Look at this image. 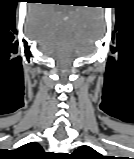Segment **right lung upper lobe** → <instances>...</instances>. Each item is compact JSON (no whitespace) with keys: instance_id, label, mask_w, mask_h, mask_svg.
Wrapping results in <instances>:
<instances>
[{"instance_id":"cb5924a9","label":"right lung upper lobe","mask_w":134,"mask_h":159,"mask_svg":"<svg viewBox=\"0 0 134 159\" xmlns=\"http://www.w3.org/2000/svg\"><path fill=\"white\" fill-rule=\"evenodd\" d=\"M17 151L27 155V159H39L38 157L42 154L43 149L38 143L31 142L21 146L17 149Z\"/></svg>"}]
</instances>
